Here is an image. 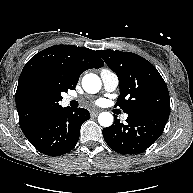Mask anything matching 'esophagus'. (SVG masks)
Masks as SVG:
<instances>
[{"mask_svg":"<svg viewBox=\"0 0 193 193\" xmlns=\"http://www.w3.org/2000/svg\"><path fill=\"white\" fill-rule=\"evenodd\" d=\"M99 113H100V111H98V110H93L90 112L92 117H96Z\"/></svg>","mask_w":193,"mask_h":193,"instance_id":"34e87169","label":"esophagus"}]
</instances>
